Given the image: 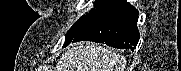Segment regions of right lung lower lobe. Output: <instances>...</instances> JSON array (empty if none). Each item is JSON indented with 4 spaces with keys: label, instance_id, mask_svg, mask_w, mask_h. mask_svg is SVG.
<instances>
[{
    "label": "right lung lower lobe",
    "instance_id": "98d812e1",
    "mask_svg": "<svg viewBox=\"0 0 181 71\" xmlns=\"http://www.w3.org/2000/svg\"><path fill=\"white\" fill-rule=\"evenodd\" d=\"M138 14V10L126 0L96 1L94 9L67 32L64 46L86 40L133 51L140 38Z\"/></svg>",
    "mask_w": 181,
    "mask_h": 71
}]
</instances>
